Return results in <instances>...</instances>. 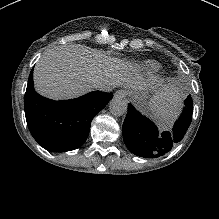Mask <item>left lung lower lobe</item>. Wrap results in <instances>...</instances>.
<instances>
[{
	"mask_svg": "<svg viewBox=\"0 0 219 219\" xmlns=\"http://www.w3.org/2000/svg\"><path fill=\"white\" fill-rule=\"evenodd\" d=\"M193 106H185L181 117L174 125L173 131H158L147 117L142 116L133 105L128 104L122 132L126 146L138 156L155 158L170 151L173 144L179 142L187 131L191 120Z\"/></svg>",
	"mask_w": 219,
	"mask_h": 219,
	"instance_id": "left-lung-lower-lobe-1",
	"label": "left lung lower lobe"
}]
</instances>
